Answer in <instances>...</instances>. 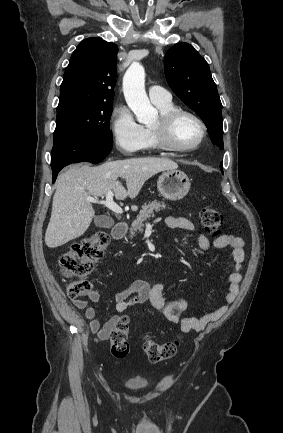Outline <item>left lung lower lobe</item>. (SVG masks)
<instances>
[{"label":"left lung lower lobe","mask_w":283,"mask_h":433,"mask_svg":"<svg viewBox=\"0 0 283 433\" xmlns=\"http://www.w3.org/2000/svg\"><path fill=\"white\" fill-rule=\"evenodd\" d=\"M220 168H221V171H223L222 163H221V165H220Z\"/></svg>","instance_id":"0a47b994"}]
</instances>
